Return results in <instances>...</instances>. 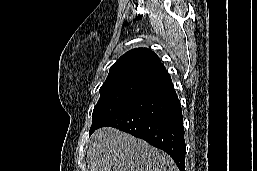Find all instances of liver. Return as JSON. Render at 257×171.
<instances>
[{"label":"liver","mask_w":257,"mask_h":171,"mask_svg":"<svg viewBox=\"0 0 257 171\" xmlns=\"http://www.w3.org/2000/svg\"><path fill=\"white\" fill-rule=\"evenodd\" d=\"M86 160L89 171H178L165 152L111 127L93 133Z\"/></svg>","instance_id":"6515ba94"}]
</instances>
